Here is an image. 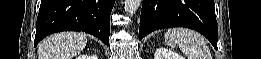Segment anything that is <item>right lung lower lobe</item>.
<instances>
[{
    "label": "right lung lower lobe",
    "mask_w": 261,
    "mask_h": 59,
    "mask_svg": "<svg viewBox=\"0 0 261 59\" xmlns=\"http://www.w3.org/2000/svg\"><path fill=\"white\" fill-rule=\"evenodd\" d=\"M115 0H42L34 46L47 35L84 31L109 44L110 14Z\"/></svg>",
    "instance_id": "98d812e1"
}]
</instances>
